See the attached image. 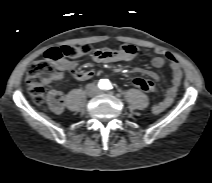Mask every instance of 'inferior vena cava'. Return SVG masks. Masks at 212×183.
<instances>
[{
	"instance_id": "1",
	"label": "inferior vena cava",
	"mask_w": 212,
	"mask_h": 183,
	"mask_svg": "<svg viewBox=\"0 0 212 183\" xmlns=\"http://www.w3.org/2000/svg\"><path fill=\"white\" fill-rule=\"evenodd\" d=\"M87 90L91 95H96L99 93V89L93 83L87 85Z\"/></svg>"
}]
</instances>
